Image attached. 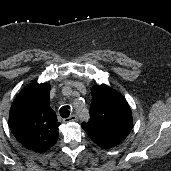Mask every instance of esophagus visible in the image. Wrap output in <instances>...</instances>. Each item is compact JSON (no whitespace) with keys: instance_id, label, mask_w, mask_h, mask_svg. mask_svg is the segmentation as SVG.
<instances>
[{"instance_id":"34e87169","label":"esophagus","mask_w":171,"mask_h":171,"mask_svg":"<svg viewBox=\"0 0 171 171\" xmlns=\"http://www.w3.org/2000/svg\"><path fill=\"white\" fill-rule=\"evenodd\" d=\"M77 120V115L72 114L70 117H67L65 119H63L64 123L70 122V121H76Z\"/></svg>"}]
</instances>
